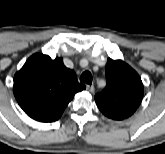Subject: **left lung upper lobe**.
Returning <instances> with one entry per match:
<instances>
[{
  "label": "left lung upper lobe",
  "instance_id": "5c2ea615",
  "mask_svg": "<svg viewBox=\"0 0 165 154\" xmlns=\"http://www.w3.org/2000/svg\"><path fill=\"white\" fill-rule=\"evenodd\" d=\"M105 75L107 85L95 95L100 111L107 117L122 120L131 116L143 97L141 78L128 64L108 59Z\"/></svg>",
  "mask_w": 165,
  "mask_h": 154
}]
</instances>
